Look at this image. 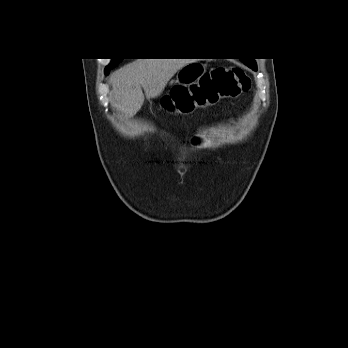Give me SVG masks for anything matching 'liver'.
<instances>
[{"mask_svg":"<svg viewBox=\"0 0 348 348\" xmlns=\"http://www.w3.org/2000/svg\"><path fill=\"white\" fill-rule=\"evenodd\" d=\"M189 63L187 59H137L119 69L112 79V93L119 109L135 115L148 99L158 97L168 81Z\"/></svg>","mask_w":348,"mask_h":348,"instance_id":"liver-1","label":"liver"}]
</instances>
